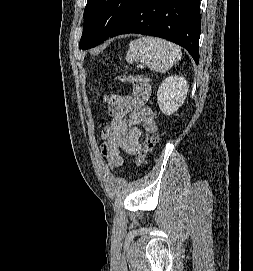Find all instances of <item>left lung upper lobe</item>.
Wrapping results in <instances>:
<instances>
[{
  "label": "left lung upper lobe",
  "mask_w": 253,
  "mask_h": 271,
  "mask_svg": "<svg viewBox=\"0 0 253 271\" xmlns=\"http://www.w3.org/2000/svg\"><path fill=\"white\" fill-rule=\"evenodd\" d=\"M133 0H87L81 49L97 46L117 28L132 7Z\"/></svg>",
  "instance_id": "obj_1"
}]
</instances>
